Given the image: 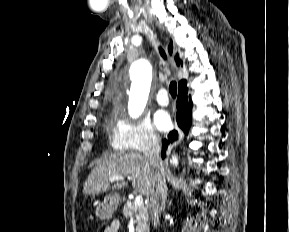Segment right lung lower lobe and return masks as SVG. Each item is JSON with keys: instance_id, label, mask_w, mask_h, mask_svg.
<instances>
[{"instance_id": "obj_1", "label": "right lung lower lobe", "mask_w": 289, "mask_h": 232, "mask_svg": "<svg viewBox=\"0 0 289 232\" xmlns=\"http://www.w3.org/2000/svg\"><path fill=\"white\" fill-rule=\"evenodd\" d=\"M192 108V101L191 97H187V89L179 90L178 92V99H177V114L176 120L178 123L179 128L187 134L192 122V116L190 110ZM178 133L177 131H172L168 135V140L163 141L162 145V158L166 156V149L168 143H172L173 141L177 140Z\"/></svg>"}]
</instances>
